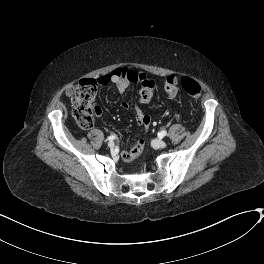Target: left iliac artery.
<instances>
[{
  "label": "left iliac artery",
  "mask_w": 264,
  "mask_h": 264,
  "mask_svg": "<svg viewBox=\"0 0 264 264\" xmlns=\"http://www.w3.org/2000/svg\"><path fill=\"white\" fill-rule=\"evenodd\" d=\"M167 135V131L166 130H162V131H160L159 133H158V136L159 137H164V136H166Z\"/></svg>",
  "instance_id": "left-iliac-artery-1"
}]
</instances>
